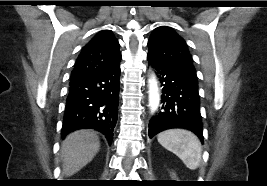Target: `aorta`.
<instances>
[{
	"label": "aorta",
	"instance_id": "1",
	"mask_svg": "<svg viewBox=\"0 0 267 186\" xmlns=\"http://www.w3.org/2000/svg\"><path fill=\"white\" fill-rule=\"evenodd\" d=\"M160 96L158 93L157 82L154 76L149 79V107L151 112H155L159 106Z\"/></svg>",
	"mask_w": 267,
	"mask_h": 186
}]
</instances>
